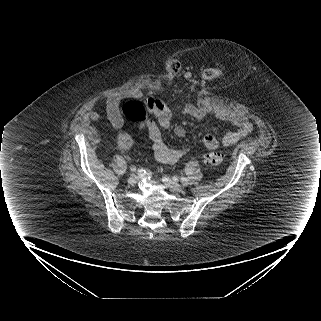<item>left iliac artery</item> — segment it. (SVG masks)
Wrapping results in <instances>:
<instances>
[{
    "mask_svg": "<svg viewBox=\"0 0 321 321\" xmlns=\"http://www.w3.org/2000/svg\"><path fill=\"white\" fill-rule=\"evenodd\" d=\"M180 181H181V183H182L183 185H188V184H189L188 179L185 178V177H182V178L180 179Z\"/></svg>",
    "mask_w": 321,
    "mask_h": 321,
    "instance_id": "44dca946",
    "label": "left iliac artery"
}]
</instances>
